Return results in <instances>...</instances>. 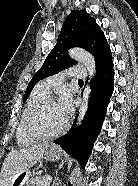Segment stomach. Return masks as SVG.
Masks as SVG:
<instances>
[{"instance_id":"stomach-1","label":"stomach","mask_w":138,"mask_h":186,"mask_svg":"<svg viewBox=\"0 0 138 186\" xmlns=\"http://www.w3.org/2000/svg\"><path fill=\"white\" fill-rule=\"evenodd\" d=\"M61 156V150L58 147H51L46 150L44 159L47 161H57ZM31 170L16 173L11 179L10 186H30Z\"/></svg>"}]
</instances>
